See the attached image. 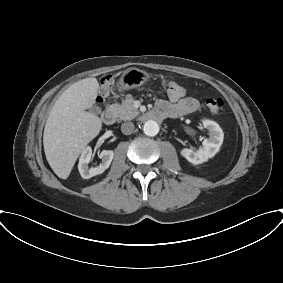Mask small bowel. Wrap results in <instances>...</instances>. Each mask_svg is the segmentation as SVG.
I'll use <instances>...</instances> for the list:
<instances>
[{
  "instance_id": "small-bowel-1",
  "label": "small bowel",
  "mask_w": 283,
  "mask_h": 283,
  "mask_svg": "<svg viewBox=\"0 0 283 283\" xmlns=\"http://www.w3.org/2000/svg\"><path fill=\"white\" fill-rule=\"evenodd\" d=\"M169 98L170 101H158L155 110L171 111L172 117H179L194 113L199 108V101L195 97L183 96L178 99Z\"/></svg>"
}]
</instances>
